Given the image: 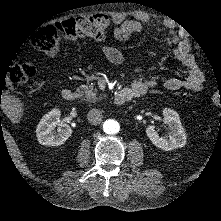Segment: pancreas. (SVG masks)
Masks as SVG:
<instances>
[{
  "mask_svg": "<svg viewBox=\"0 0 221 221\" xmlns=\"http://www.w3.org/2000/svg\"><path fill=\"white\" fill-rule=\"evenodd\" d=\"M76 91L84 96V100L90 101V102H95L96 99L99 98L97 95L96 89L94 88V84L91 85H81L76 89Z\"/></svg>",
  "mask_w": 221,
  "mask_h": 221,
  "instance_id": "obj_1",
  "label": "pancreas"
}]
</instances>
